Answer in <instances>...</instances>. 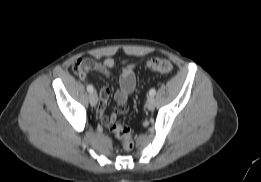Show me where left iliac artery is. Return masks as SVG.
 <instances>
[{
    "mask_svg": "<svg viewBox=\"0 0 261 182\" xmlns=\"http://www.w3.org/2000/svg\"><path fill=\"white\" fill-rule=\"evenodd\" d=\"M156 94V90L154 88H152L150 91H149V95L150 96H154Z\"/></svg>",
    "mask_w": 261,
    "mask_h": 182,
    "instance_id": "1",
    "label": "left iliac artery"
}]
</instances>
